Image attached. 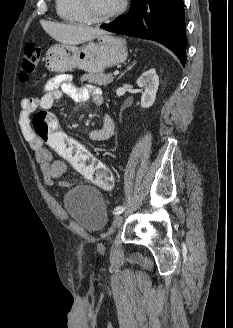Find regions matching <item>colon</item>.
<instances>
[{"mask_svg": "<svg viewBox=\"0 0 233 328\" xmlns=\"http://www.w3.org/2000/svg\"><path fill=\"white\" fill-rule=\"evenodd\" d=\"M41 51L34 44H27L21 64V80L25 81L36 70ZM33 130L39 139L68 161L77 171L105 191L114 188L111 170L92 155L83 145L63 132L54 114L46 110L33 116Z\"/></svg>", "mask_w": 233, "mask_h": 328, "instance_id": "5ec220e1", "label": "colon"}]
</instances>
